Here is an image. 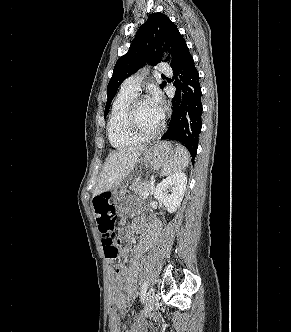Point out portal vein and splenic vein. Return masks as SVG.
I'll return each instance as SVG.
<instances>
[{
	"label": "portal vein and splenic vein",
	"instance_id": "18ae733b",
	"mask_svg": "<svg viewBox=\"0 0 291 332\" xmlns=\"http://www.w3.org/2000/svg\"><path fill=\"white\" fill-rule=\"evenodd\" d=\"M149 192H150L149 190L145 192V194L143 195L144 198L149 194Z\"/></svg>",
	"mask_w": 291,
	"mask_h": 332
}]
</instances>
